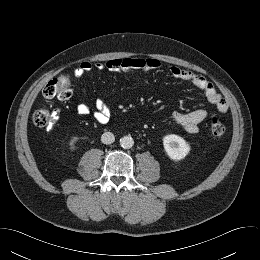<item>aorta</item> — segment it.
Listing matches in <instances>:
<instances>
[{
	"instance_id": "obj_1",
	"label": "aorta",
	"mask_w": 260,
	"mask_h": 260,
	"mask_svg": "<svg viewBox=\"0 0 260 260\" xmlns=\"http://www.w3.org/2000/svg\"><path fill=\"white\" fill-rule=\"evenodd\" d=\"M120 145L124 149H130L134 145V140L130 135L123 136L120 139Z\"/></svg>"
}]
</instances>
